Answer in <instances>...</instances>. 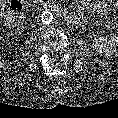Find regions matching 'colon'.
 Segmentation results:
<instances>
[{
    "mask_svg": "<svg viewBox=\"0 0 118 118\" xmlns=\"http://www.w3.org/2000/svg\"><path fill=\"white\" fill-rule=\"evenodd\" d=\"M118 7V0L116 2ZM22 18V3L18 0L12 1L5 15V25L16 27L20 24Z\"/></svg>",
    "mask_w": 118,
    "mask_h": 118,
    "instance_id": "colon-1",
    "label": "colon"
}]
</instances>
